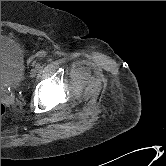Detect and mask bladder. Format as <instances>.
<instances>
[{
  "mask_svg": "<svg viewBox=\"0 0 166 166\" xmlns=\"http://www.w3.org/2000/svg\"><path fill=\"white\" fill-rule=\"evenodd\" d=\"M25 71V59L20 44L1 35V86L17 85Z\"/></svg>",
  "mask_w": 166,
  "mask_h": 166,
  "instance_id": "1",
  "label": "bladder"
}]
</instances>
